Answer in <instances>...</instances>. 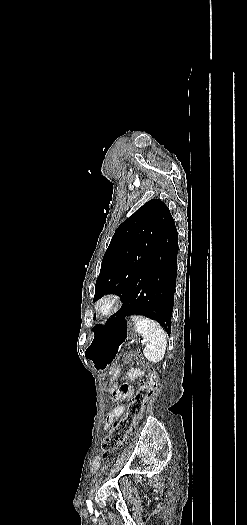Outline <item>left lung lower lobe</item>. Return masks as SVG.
I'll return each mask as SVG.
<instances>
[{
    "mask_svg": "<svg viewBox=\"0 0 247 525\" xmlns=\"http://www.w3.org/2000/svg\"><path fill=\"white\" fill-rule=\"evenodd\" d=\"M178 233L172 221L156 239L144 268L132 283L115 318L143 315L171 332L177 274Z\"/></svg>",
    "mask_w": 247,
    "mask_h": 525,
    "instance_id": "obj_1",
    "label": "left lung lower lobe"
}]
</instances>
